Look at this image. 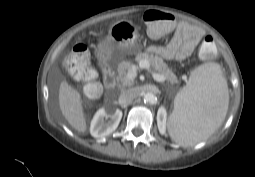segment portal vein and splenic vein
Instances as JSON below:
<instances>
[{"mask_svg":"<svg viewBox=\"0 0 255 177\" xmlns=\"http://www.w3.org/2000/svg\"><path fill=\"white\" fill-rule=\"evenodd\" d=\"M137 68L150 70V63L147 60H141L138 67L133 66L127 74V79L133 80L137 76ZM154 80L163 82L165 78L157 73L151 72Z\"/></svg>","mask_w":255,"mask_h":177,"instance_id":"portal-vein-and-splenic-vein-1","label":"portal vein and splenic vein"}]
</instances>
